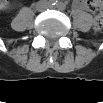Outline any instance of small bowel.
<instances>
[{"instance_id": "small-bowel-1", "label": "small bowel", "mask_w": 103, "mask_h": 103, "mask_svg": "<svg viewBox=\"0 0 103 103\" xmlns=\"http://www.w3.org/2000/svg\"><path fill=\"white\" fill-rule=\"evenodd\" d=\"M3 5L6 7V6H8V3L5 2ZM77 5H78L79 7H81V8L89 9V4H88V2L81 1V2H78Z\"/></svg>"}]
</instances>
